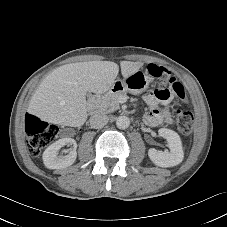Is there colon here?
I'll return each mask as SVG.
<instances>
[{"label": "colon", "mask_w": 227, "mask_h": 227, "mask_svg": "<svg viewBox=\"0 0 227 227\" xmlns=\"http://www.w3.org/2000/svg\"><path fill=\"white\" fill-rule=\"evenodd\" d=\"M149 73L158 79V89L167 87L173 91L183 102L186 95L183 86L176 81L171 73L164 67L151 64L148 67ZM177 126L184 135H190L193 130L194 117L187 110L178 108L175 111ZM25 129L28 134V150L32 156H37L41 150L51 144L58 136L59 129L56 125L47 123L34 115H26Z\"/></svg>", "instance_id": "colon-1"}]
</instances>
